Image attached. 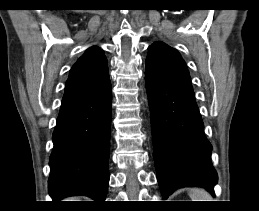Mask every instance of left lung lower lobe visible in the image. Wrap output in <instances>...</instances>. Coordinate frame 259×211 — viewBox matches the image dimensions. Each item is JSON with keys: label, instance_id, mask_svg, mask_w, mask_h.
I'll use <instances>...</instances> for the list:
<instances>
[{"label": "left lung lower lobe", "instance_id": "obj_1", "mask_svg": "<svg viewBox=\"0 0 259 211\" xmlns=\"http://www.w3.org/2000/svg\"><path fill=\"white\" fill-rule=\"evenodd\" d=\"M152 112L153 157L163 198L185 186L213 194L217 173L212 146L193 91L166 87L145 77Z\"/></svg>", "mask_w": 259, "mask_h": 211}]
</instances>
